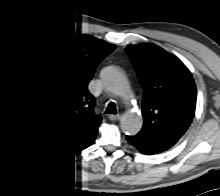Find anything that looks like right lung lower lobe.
I'll list each match as a JSON object with an SVG mask.
<instances>
[{
  "label": "right lung lower lobe",
  "instance_id": "98d812e1",
  "mask_svg": "<svg viewBox=\"0 0 220 196\" xmlns=\"http://www.w3.org/2000/svg\"><path fill=\"white\" fill-rule=\"evenodd\" d=\"M94 138H95V137H93V138H92L89 142H87L85 145L91 143V142L94 140ZM85 145L80 146V147H77V148H67V149H68V150L81 149V148H83Z\"/></svg>",
  "mask_w": 220,
  "mask_h": 196
}]
</instances>
